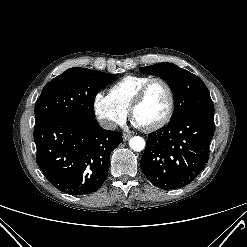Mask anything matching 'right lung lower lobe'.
Wrapping results in <instances>:
<instances>
[{
  "mask_svg": "<svg viewBox=\"0 0 247 247\" xmlns=\"http://www.w3.org/2000/svg\"><path fill=\"white\" fill-rule=\"evenodd\" d=\"M36 162L59 190L85 195L104 182L111 151L122 133L105 130L94 118L55 116L35 123Z\"/></svg>",
  "mask_w": 247,
  "mask_h": 247,
  "instance_id": "98d812e1",
  "label": "right lung lower lobe"
}]
</instances>
